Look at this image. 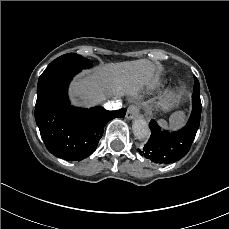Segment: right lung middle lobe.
<instances>
[{
    "label": "right lung middle lobe",
    "mask_w": 229,
    "mask_h": 229,
    "mask_svg": "<svg viewBox=\"0 0 229 229\" xmlns=\"http://www.w3.org/2000/svg\"><path fill=\"white\" fill-rule=\"evenodd\" d=\"M91 66H92V61H90L89 59H86L75 53H68L52 61L45 69V71L41 74L39 79L49 76L52 73L62 69L74 68V69L82 70V69L90 68Z\"/></svg>",
    "instance_id": "1"
}]
</instances>
